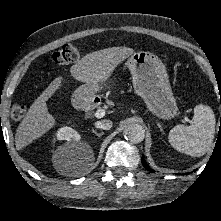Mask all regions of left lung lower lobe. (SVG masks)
Instances as JSON below:
<instances>
[{"instance_id":"obj_1","label":"left lung lower lobe","mask_w":221,"mask_h":221,"mask_svg":"<svg viewBox=\"0 0 221 221\" xmlns=\"http://www.w3.org/2000/svg\"><path fill=\"white\" fill-rule=\"evenodd\" d=\"M142 164H143V166H144L147 170L152 171V170L149 168V166L147 165L146 161L144 160V156L142 157Z\"/></svg>"}]
</instances>
